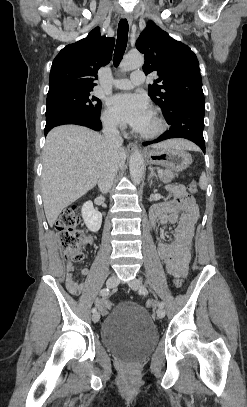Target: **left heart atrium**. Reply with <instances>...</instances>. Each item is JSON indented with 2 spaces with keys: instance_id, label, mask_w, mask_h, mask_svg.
Listing matches in <instances>:
<instances>
[{
  "instance_id": "39dd6f15",
  "label": "left heart atrium",
  "mask_w": 247,
  "mask_h": 407,
  "mask_svg": "<svg viewBox=\"0 0 247 407\" xmlns=\"http://www.w3.org/2000/svg\"><path fill=\"white\" fill-rule=\"evenodd\" d=\"M109 105L114 115L123 123L138 130L148 115L149 105L146 98L139 94L121 93L109 99Z\"/></svg>"
}]
</instances>
